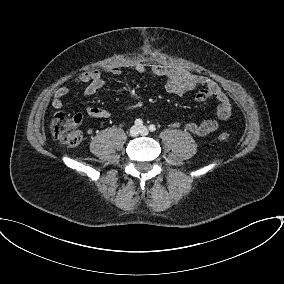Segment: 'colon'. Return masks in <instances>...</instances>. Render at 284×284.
<instances>
[{
	"instance_id": "colon-1",
	"label": "colon",
	"mask_w": 284,
	"mask_h": 284,
	"mask_svg": "<svg viewBox=\"0 0 284 284\" xmlns=\"http://www.w3.org/2000/svg\"><path fill=\"white\" fill-rule=\"evenodd\" d=\"M80 122L81 117L79 115L69 116L64 112H57L51 120L50 130L53 137L58 141L75 146L83 140V134L78 128ZM229 137L230 133L226 131L219 134L221 140H227Z\"/></svg>"
}]
</instances>
